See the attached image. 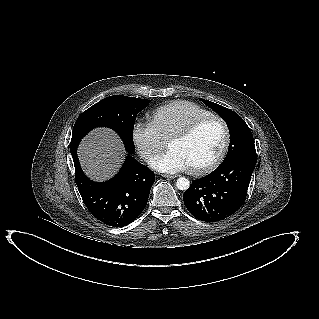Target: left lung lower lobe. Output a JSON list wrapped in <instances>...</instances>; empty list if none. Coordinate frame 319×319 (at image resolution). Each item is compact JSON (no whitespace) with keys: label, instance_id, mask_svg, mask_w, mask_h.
<instances>
[{"label":"left lung lower lobe","instance_id":"1","mask_svg":"<svg viewBox=\"0 0 319 319\" xmlns=\"http://www.w3.org/2000/svg\"><path fill=\"white\" fill-rule=\"evenodd\" d=\"M255 165V160L238 158L194 180L183 194L186 208L205 222H217L233 215L246 199Z\"/></svg>","mask_w":319,"mask_h":319}]
</instances>
